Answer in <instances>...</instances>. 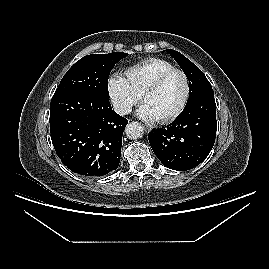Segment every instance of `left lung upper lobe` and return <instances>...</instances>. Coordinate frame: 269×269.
<instances>
[{
	"label": "left lung upper lobe",
	"instance_id": "5c2ea615",
	"mask_svg": "<svg viewBox=\"0 0 269 269\" xmlns=\"http://www.w3.org/2000/svg\"><path fill=\"white\" fill-rule=\"evenodd\" d=\"M165 51H167V53H169L175 59L189 79L190 95L186 105L193 102L200 95L213 91L211 84L205 77L204 73L195 64L175 50L167 49Z\"/></svg>",
	"mask_w": 269,
	"mask_h": 269
}]
</instances>
